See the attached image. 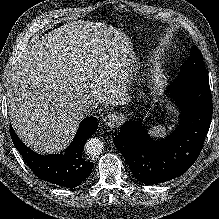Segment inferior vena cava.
<instances>
[{
	"label": "inferior vena cava",
	"mask_w": 219,
	"mask_h": 219,
	"mask_svg": "<svg viewBox=\"0 0 219 219\" xmlns=\"http://www.w3.org/2000/svg\"><path fill=\"white\" fill-rule=\"evenodd\" d=\"M94 106L91 103H79L76 105V112L81 116H88L92 113Z\"/></svg>",
	"instance_id": "obj_1"
}]
</instances>
